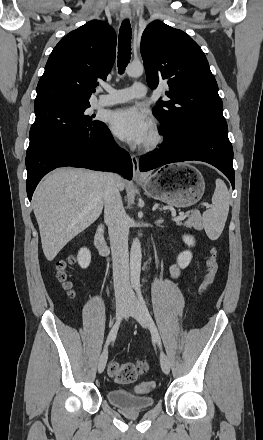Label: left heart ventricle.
<instances>
[{"label": "left heart ventricle", "instance_id": "left-heart-ventricle-1", "mask_svg": "<svg viewBox=\"0 0 263 440\" xmlns=\"http://www.w3.org/2000/svg\"><path fill=\"white\" fill-rule=\"evenodd\" d=\"M149 137H150V133L147 135V137H146V139L144 140V142L147 141V140L149 139Z\"/></svg>", "mask_w": 263, "mask_h": 440}]
</instances>
